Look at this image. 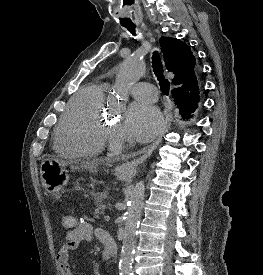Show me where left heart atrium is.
Returning <instances> with one entry per match:
<instances>
[{
  "mask_svg": "<svg viewBox=\"0 0 263 275\" xmlns=\"http://www.w3.org/2000/svg\"><path fill=\"white\" fill-rule=\"evenodd\" d=\"M163 127V117L157 107L135 102L127 110L123 130L130 139L146 142L160 133Z\"/></svg>",
  "mask_w": 263,
  "mask_h": 275,
  "instance_id": "left-heart-atrium-1",
  "label": "left heart atrium"
}]
</instances>
